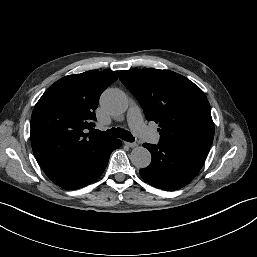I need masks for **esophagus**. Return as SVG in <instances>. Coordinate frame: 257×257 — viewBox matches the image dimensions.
Listing matches in <instances>:
<instances>
[{
	"mask_svg": "<svg viewBox=\"0 0 257 257\" xmlns=\"http://www.w3.org/2000/svg\"><path fill=\"white\" fill-rule=\"evenodd\" d=\"M124 144L131 148H134L137 146V143L135 142H124Z\"/></svg>",
	"mask_w": 257,
	"mask_h": 257,
	"instance_id": "obj_1",
	"label": "esophagus"
}]
</instances>
